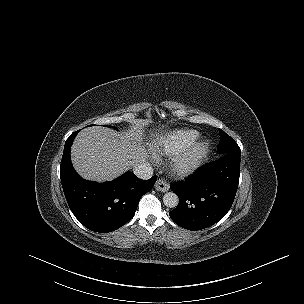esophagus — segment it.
Here are the masks:
<instances>
[{
	"instance_id": "esophagus-1",
	"label": "esophagus",
	"mask_w": 304,
	"mask_h": 304,
	"mask_svg": "<svg viewBox=\"0 0 304 304\" xmlns=\"http://www.w3.org/2000/svg\"><path fill=\"white\" fill-rule=\"evenodd\" d=\"M155 189L157 191L167 192L169 190V184L163 179H158L155 183Z\"/></svg>"
}]
</instances>
